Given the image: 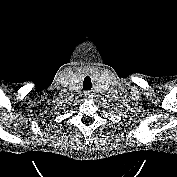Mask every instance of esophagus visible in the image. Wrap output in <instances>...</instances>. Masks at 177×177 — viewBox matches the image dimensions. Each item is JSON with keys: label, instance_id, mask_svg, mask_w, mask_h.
I'll return each instance as SVG.
<instances>
[{"label": "esophagus", "instance_id": "obj_1", "mask_svg": "<svg viewBox=\"0 0 177 177\" xmlns=\"http://www.w3.org/2000/svg\"><path fill=\"white\" fill-rule=\"evenodd\" d=\"M85 97H86V98H90V97H91V95H90V92H89V91H86V92H85Z\"/></svg>", "mask_w": 177, "mask_h": 177}]
</instances>
